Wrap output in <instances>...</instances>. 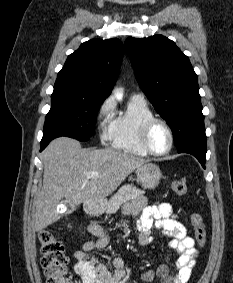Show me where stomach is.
I'll list each match as a JSON object with an SVG mask.
<instances>
[{
    "mask_svg": "<svg viewBox=\"0 0 233 283\" xmlns=\"http://www.w3.org/2000/svg\"><path fill=\"white\" fill-rule=\"evenodd\" d=\"M137 179L147 189H155L162 177L160 168L153 163H146L136 170Z\"/></svg>",
    "mask_w": 233,
    "mask_h": 283,
    "instance_id": "obj_1",
    "label": "stomach"
}]
</instances>
